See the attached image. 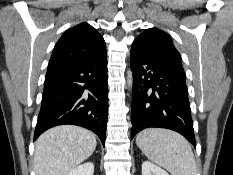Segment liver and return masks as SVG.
<instances>
[{
    "instance_id": "1",
    "label": "liver",
    "mask_w": 233,
    "mask_h": 175,
    "mask_svg": "<svg viewBox=\"0 0 233 175\" xmlns=\"http://www.w3.org/2000/svg\"><path fill=\"white\" fill-rule=\"evenodd\" d=\"M97 145L89 130L74 126H56L36 141L34 169L36 175H67L89 158Z\"/></svg>"
}]
</instances>
